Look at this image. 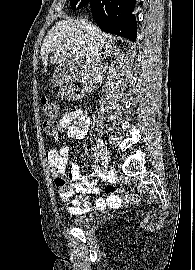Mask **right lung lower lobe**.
<instances>
[{"label": "right lung lower lobe", "mask_w": 195, "mask_h": 270, "mask_svg": "<svg viewBox=\"0 0 195 270\" xmlns=\"http://www.w3.org/2000/svg\"><path fill=\"white\" fill-rule=\"evenodd\" d=\"M82 2L90 5L93 18L102 31L131 41L136 40V20L132 14L136 0H82Z\"/></svg>", "instance_id": "1"}]
</instances>
